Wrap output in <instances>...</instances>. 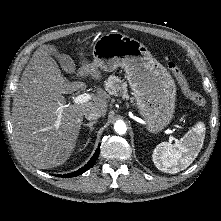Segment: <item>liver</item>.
I'll use <instances>...</instances> for the list:
<instances>
[{"mask_svg": "<svg viewBox=\"0 0 221 221\" xmlns=\"http://www.w3.org/2000/svg\"><path fill=\"white\" fill-rule=\"evenodd\" d=\"M53 56L63 71L75 73V64L69 55L60 54L54 45L40 46L27 64L13 96L11 121L17 147L40 169L62 165L69 159L76 147L85 112L94 109L105 116L109 99L99 89L88 102L66 104L58 90L64 79ZM80 64L82 75L95 80L102 78L97 64L85 59Z\"/></svg>", "mask_w": 221, "mask_h": 221, "instance_id": "liver-1", "label": "liver"}]
</instances>
